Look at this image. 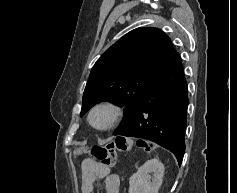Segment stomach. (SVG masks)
Segmentation results:
<instances>
[{
	"instance_id": "obj_1",
	"label": "stomach",
	"mask_w": 237,
	"mask_h": 193,
	"mask_svg": "<svg viewBox=\"0 0 237 193\" xmlns=\"http://www.w3.org/2000/svg\"><path fill=\"white\" fill-rule=\"evenodd\" d=\"M86 151H87L86 148L80 147V148H75L73 153H74V156H79L85 153Z\"/></svg>"
}]
</instances>
